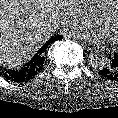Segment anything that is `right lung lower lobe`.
<instances>
[{
  "label": "right lung lower lobe",
  "instance_id": "obj_1",
  "mask_svg": "<svg viewBox=\"0 0 118 118\" xmlns=\"http://www.w3.org/2000/svg\"><path fill=\"white\" fill-rule=\"evenodd\" d=\"M62 38H63L62 36L57 35L55 37H52L51 39L53 40L52 42H54ZM36 54L28 63L23 65L21 68L13 70L0 69V74L7 80L14 82H23L25 80L33 78L42 69L45 61L46 52H44L42 55L38 57H35Z\"/></svg>",
  "mask_w": 118,
  "mask_h": 118
}]
</instances>
